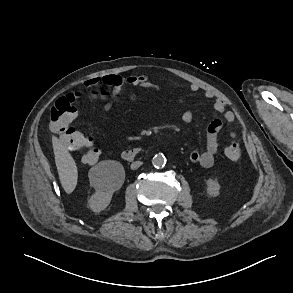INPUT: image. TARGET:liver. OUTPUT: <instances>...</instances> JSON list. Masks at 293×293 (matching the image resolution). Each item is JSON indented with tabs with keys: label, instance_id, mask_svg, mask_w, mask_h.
Returning a JSON list of instances; mask_svg holds the SVG:
<instances>
[{
	"label": "liver",
	"instance_id": "liver-1",
	"mask_svg": "<svg viewBox=\"0 0 293 293\" xmlns=\"http://www.w3.org/2000/svg\"><path fill=\"white\" fill-rule=\"evenodd\" d=\"M52 144L61 185L66 193H72L78 179L76 163L66 146L57 137H52Z\"/></svg>",
	"mask_w": 293,
	"mask_h": 293
}]
</instances>
